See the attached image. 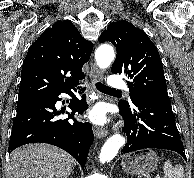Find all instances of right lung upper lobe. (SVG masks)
<instances>
[{
  "label": "right lung upper lobe",
  "mask_w": 194,
  "mask_h": 178,
  "mask_svg": "<svg viewBox=\"0 0 194 178\" xmlns=\"http://www.w3.org/2000/svg\"><path fill=\"white\" fill-rule=\"evenodd\" d=\"M93 44L68 20L58 21L30 46L24 59L19 101L74 89L85 78L82 67Z\"/></svg>",
  "instance_id": "right-lung-upper-lobe-1"
}]
</instances>
